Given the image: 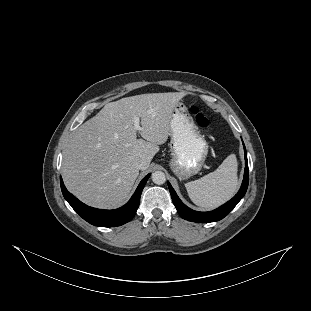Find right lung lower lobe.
Returning <instances> with one entry per match:
<instances>
[{
  "label": "right lung lower lobe",
  "instance_id": "obj_1",
  "mask_svg": "<svg viewBox=\"0 0 311 311\" xmlns=\"http://www.w3.org/2000/svg\"><path fill=\"white\" fill-rule=\"evenodd\" d=\"M150 175L148 174L143 178L127 204L114 210H102L85 205L66 189L61 177L60 185L66 201L84 220L95 226L114 227L129 222L135 216L140 203L142 190Z\"/></svg>",
  "mask_w": 311,
  "mask_h": 311
}]
</instances>
